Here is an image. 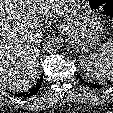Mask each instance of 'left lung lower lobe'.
Segmentation results:
<instances>
[{"label":"left lung lower lobe","instance_id":"0a47b994","mask_svg":"<svg viewBox=\"0 0 113 113\" xmlns=\"http://www.w3.org/2000/svg\"><path fill=\"white\" fill-rule=\"evenodd\" d=\"M80 78V80L82 81V83H84L87 86L93 87V88H100L101 85H97V84H91L89 82H85L80 76H78Z\"/></svg>","mask_w":113,"mask_h":113}]
</instances>
